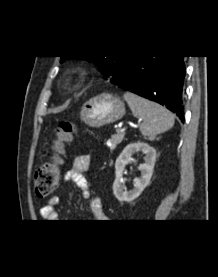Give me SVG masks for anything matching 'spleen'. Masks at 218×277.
<instances>
[{
  "label": "spleen",
  "instance_id": "3e777b00",
  "mask_svg": "<svg viewBox=\"0 0 218 277\" xmlns=\"http://www.w3.org/2000/svg\"><path fill=\"white\" fill-rule=\"evenodd\" d=\"M123 97L133 115L142 119L140 132L150 140L173 127L174 116L166 108L134 93L127 92Z\"/></svg>",
  "mask_w": 218,
  "mask_h": 277
}]
</instances>
